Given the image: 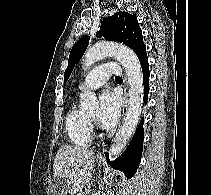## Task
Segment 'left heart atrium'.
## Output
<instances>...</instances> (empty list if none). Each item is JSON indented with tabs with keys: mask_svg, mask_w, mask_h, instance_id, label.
I'll use <instances>...</instances> for the list:
<instances>
[{
	"mask_svg": "<svg viewBox=\"0 0 211 195\" xmlns=\"http://www.w3.org/2000/svg\"><path fill=\"white\" fill-rule=\"evenodd\" d=\"M120 113V103L117 96L110 92H104L100 97L99 120L104 126L113 125Z\"/></svg>",
	"mask_w": 211,
	"mask_h": 195,
	"instance_id": "left-heart-atrium-1",
	"label": "left heart atrium"
}]
</instances>
